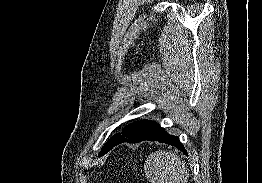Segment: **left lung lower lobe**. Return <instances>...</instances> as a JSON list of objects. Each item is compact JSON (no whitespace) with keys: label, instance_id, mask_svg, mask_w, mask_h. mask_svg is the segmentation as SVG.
<instances>
[{"label":"left lung lower lobe","instance_id":"left-lung-lower-lobe-1","mask_svg":"<svg viewBox=\"0 0 262 183\" xmlns=\"http://www.w3.org/2000/svg\"><path fill=\"white\" fill-rule=\"evenodd\" d=\"M145 140L158 141L161 143L170 144L172 146L177 147L179 150H181L184 154L187 155V152L184 149L179 138L168 134L164 129L159 127L157 123L154 121H147L145 125L141 129H139L136 133H134L133 135L128 136L127 138H121L115 141L109 147L107 152H109L114 146L120 143H123V142L137 143V142H141Z\"/></svg>","mask_w":262,"mask_h":183}]
</instances>
